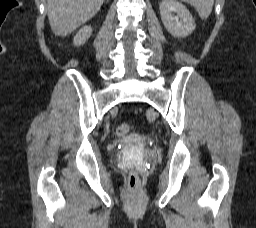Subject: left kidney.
<instances>
[{"instance_id":"1","label":"left kidney","mask_w":256,"mask_h":228,"mask_svg":"<svg viewBox=\"0 0 256 228\" xmlns=\"http://www.w3.org/2000/svg\"><path fill=\"white\" fill-rule=\"evenodd\" d=\"M159 10L165 28L174 37L183 38L194 31V19L189 10L180 2L163 0ZM173 13H176V16Z\"/></svg>"}]
</instances>
